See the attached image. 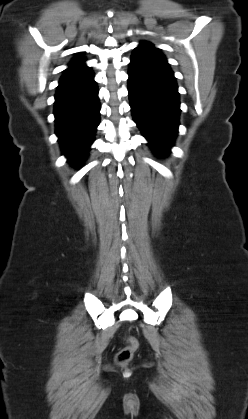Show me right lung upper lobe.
I'll use <instances>...</instances> for the list:
<instances>
[{"label":"right lung upper lobe","mask_w":248,"mask_h":419,"mask_svg":"<svg viewBox=\"0 0 248 419\" xmlns=\"http://www.w3.org/2000/svg\"><path fill=\"white\" fill-rule=\"evenodd\" d=\"M84 62V59L82 58V57H75L72 61H71V63H70V67H74V66H77V65H80V64H82ZM69 67V68H70Z\"/></svg>","instance_id":"cb5924a9"}]
</instances>
